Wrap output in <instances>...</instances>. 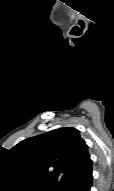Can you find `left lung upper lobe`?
<instances>
[{"mask_svg":"<svg viewBox=\"0 0 114 191\" xmlns=\"http://www.w3.org/2000/svg\"><path fill=\"white\" fill-rule=\"evenodd\" d=\"M87 149L77 129L64 127L27 138L10 153L42 185L61 191L90 160Z\"/></svg>","mask_w":114,"mask_h":191,"instance_id":"1","label":"left lung upper lobe"}]
</instances>
